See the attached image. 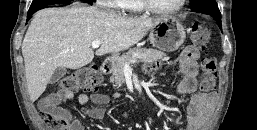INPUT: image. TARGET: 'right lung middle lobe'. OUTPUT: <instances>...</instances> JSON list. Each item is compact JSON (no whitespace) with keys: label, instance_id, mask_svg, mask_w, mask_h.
Instances as JSON below:
<instances>
[{"label":"right lung middle lobe","instance_id":"1","mask_svg":"<svg viewBox=\"0 0 257 130\" xmlns=\"http://www.w3.org/2000/svg\"><path fill=\"white\" fill-rule=\"evenodd\" d=\"M56 2H60V3H56ZM93 0H89V3H92ZM66 2H61L59 0H34L32 2V5L28 11V13H34L35 11H37L38 9L47 6V5H54V4H65Z\"/></svg>","mask_w":257,"mask_h":130}]
</instances>
